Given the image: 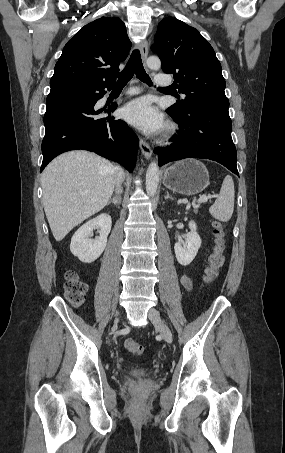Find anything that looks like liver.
Here are the masks:
<instances>
[{"mask_svg": "<svg viewBox=\"0 0 285 453\" xmlns=\"http://www.w3.org/2000/svg\"><path fill=\"white\" fill-rule=\"evenodd\" d=\"M117 174L108 160L82 150L48 164L42 173V202L56 241L107 205Z\"/></svg>", "mask_w": 285, "mask_h": 453, "instance_id": "6515ba94", "label": "liver"}]
</instances>
